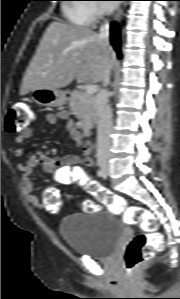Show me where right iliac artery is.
<instances>
[{
  "mask_svg": "<svg viewBox=\"0 0 180 299\" xmlns=\"http://www.w3.org/2000/svg\"><path fill=\"white\" fill-rule=\"evenodd\" d=\"M97 174H98L99 177H105V172H104L103 169H99Z\"/></svg>",
  "mask_w": 180,
  "mask_h": 299,
  "instance_id": "right-iliac-artery-1",
  "label": "right iliac artery"
}]
</instances>
